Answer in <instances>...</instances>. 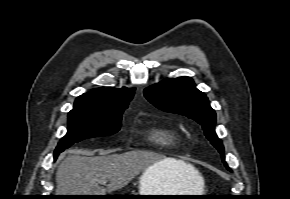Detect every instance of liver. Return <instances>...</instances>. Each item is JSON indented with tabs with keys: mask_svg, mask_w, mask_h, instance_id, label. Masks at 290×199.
Instances as JSON below:
<instances>
[{
	"mask_svg": "<svg viewBox=\"0 0 290 199\" xmlns=\"http://www.w3.org/2000/svg\"><path fill=\"white\" fill-rule=\"evenodd\" d=\"M158 165V170L176 177L174 193H193V180L199 172L191 164L174 158H163L145 150L122 154L87 157L78 154L65 157L56 172L57 195H106L126 186L140 172ZM109 182L107 188L101 186Z\"/></svg>",
	"mask_w": 290,
	"mask_h": 199,
	"instance_id": "liver-1",
	"label": "liver"
}]
</instances>
